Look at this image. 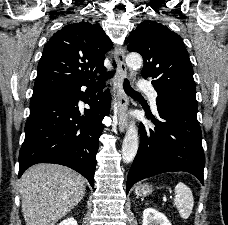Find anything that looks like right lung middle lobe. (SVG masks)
<instances>
[{"label":"right lung middle lobe","instance_id":"1","mask_svg":"<svg viewBox=\"0 0 228 225\" xmlns=\"http://www.w3.org/2000/svg\"><path fill=\"white\" fill-rule=\"evenodd\" d=\"M62 89H66V88H62V87L34 88L33 97L34 96H38V95H42V94H46V93H49V92L57 91V90H62Z\"/></svg>","mask_w":228,"mask_h":225}]
</instances>
